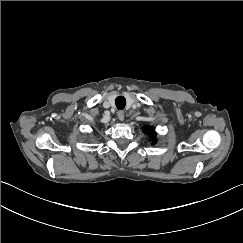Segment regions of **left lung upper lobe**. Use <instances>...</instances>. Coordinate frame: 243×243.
<instances>
[{
	"label": "left lung upper lobe",
	"instance_id": "obj_1",
	"mask_svg": "<svg viewBox=\"0 0 243 243\" xmlns=\"http://www.w3.org/2000/svg\"><path fill=\"white\" fill-rule=\"evenodd\" d=\"M144 133L149 135L152 140L155 141V137H156V132H155V128L154 127H150V126H147L144 128Z\"/></svg>",
	"mask_w": 243,
	"mask_h": 243
}]
</instances>
